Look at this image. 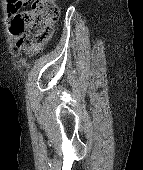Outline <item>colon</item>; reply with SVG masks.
Here are the masks:
<instances>
[{
  "mask_svg": "<svg viewBox=\"0 0 143 170\" xmlns=\"http://www.w3.org/2000/svg\"><path fill=\"white\" fill-rule=\"evenodd\" d=\"M11 2L7 0L8 12H11ZM58 14L56 0H34L31 10L17 14L12 29L21 34L20 50L27 55L36 54L51 37Z\"/></svg>",
  "mask_w": 143,
  "mask_h": 170,
  "instance_id": "5ec220e1",
  "label": "colon"
}]
</instances>
